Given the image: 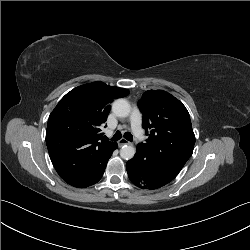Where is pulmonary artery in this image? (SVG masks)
I'll return each instance as SVG.
<instances>
[{
    "mask_svg": "<svg viewBox=\"0 0 250 250\" xmlns=\"http://www.w3.org/2000/svg\"><path fill=\"white\" fill-rule=\"evenodd\" d=\"M129 121L131 123V127L132 130L135 134V136L139 139V140H143L144 139V134H143V130L141 127V114L139 111V108L135 105L132 108L130 117H129Z\"/></svg>",
    "mask_w": 250,
    "mask_h": 250,
    "instance_id": "e3ab8cb5",
    "label": "pulmonary artery"
}]
</instances>
